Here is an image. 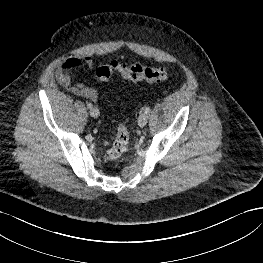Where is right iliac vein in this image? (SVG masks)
Instances as JSON below:
<instances>
[{"label":"right iliac vein","mask_w":263,"mask_h":263,"mask_svg":"<svg viewBox=\"0 0 263 263\" xmlns=\"http://www.w3.org/2000/svg\"><path fill=\"white\" fill-rule=\"evenodd\" d=\"M100 112L98 110V108H92L90 110V115L93 117V118H97L99 116Z\"/></svg>","instance_id":"1"}]
</instances>
